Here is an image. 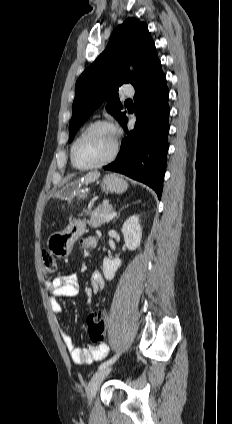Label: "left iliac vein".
I'll list each match as a JSON object with an SVG mask.
<instances>
[{"label": "left iliac vein", "mask_w": 232, "mask_h": 424, "mask_svg": "<svg viewBox=\"0 0 232 424\" xmlns=\"http://www.w3.org/2000/svg\"><path fill=\"white\" fill-rule=\"evenodd\" d=\"M110 371H111V366H107L103 369H100L91 378V380H90V382H89V384L86 388V397H87L88 405H91L100 384L108 376Z\"/></svg>", "instance_id": "obj_1"}]
</instances>
